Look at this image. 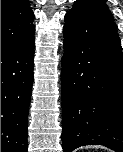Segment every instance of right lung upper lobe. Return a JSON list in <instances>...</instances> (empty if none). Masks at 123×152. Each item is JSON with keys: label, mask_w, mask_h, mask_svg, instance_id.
Instances as JSON below:
<instances>
[{"label": "right lung upper lobe", "mask_w": 123, "mask_h": 152, "mask_svg": "<svg viewBox=\"0 0 123 152\" xmlns=\"http://www.w3.org/2000/svg\"><path fill=\"white\" fill-rule=\"evenodd\" d=\"M33 19L28 0H1V46L32 35Z\"/></svg>", "instance_id": "cb5924a9"}]
</instances>
